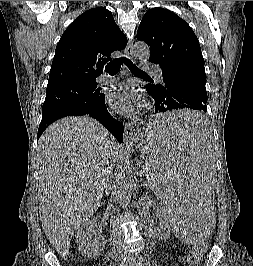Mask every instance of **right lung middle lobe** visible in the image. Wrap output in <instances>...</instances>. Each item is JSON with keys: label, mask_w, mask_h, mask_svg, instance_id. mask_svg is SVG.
I'll use <instances>...</instances> for the list:
<instances>
[{"label": "right lung middle lobe", "mask_w": 253, "mask_h": 266, "mask_svg": "<svg viewBox=\"0 0 253 266\" xmlns=\"http://www.w3.org/2000/svg\"><path fill=\"white\" fill-rule=\"evenodd\" d=\"M100 91L96 80L47 87L40 124L51 123L59 118L77 115L94 108L104 98Z\"/></svg>", "instance_id": "1"}]
</instances>
